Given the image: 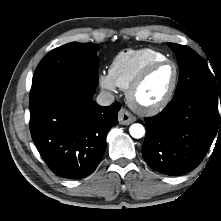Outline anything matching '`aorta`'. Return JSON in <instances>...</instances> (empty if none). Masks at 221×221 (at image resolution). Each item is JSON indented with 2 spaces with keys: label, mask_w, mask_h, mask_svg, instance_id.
<instances>
[{
  "label": "aorta",
  "mask_w": 221,
  "mask_h": 221,
  "mask_svg": "<svg viewBox=\"0 0 221 221\" xmlns=\"http://www.w3.org/2000/svg\"><path fill=\"white\" fill-rule=\"evenodd\" d=\"M130 135L133 138H142L145 134V128L139 123L132 124L129 128Z\"/></svg>",
  "instance_id": "obj_1"
}]
</instances>
